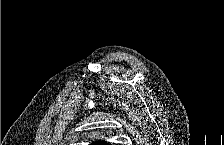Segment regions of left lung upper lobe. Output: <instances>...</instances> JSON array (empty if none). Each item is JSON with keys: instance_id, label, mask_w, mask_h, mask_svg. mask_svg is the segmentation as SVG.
<instances>
[{"instance_id": "left-lung-upper-lobe-1", "label": "left lung upper lobe", "mask_w": 224, "mask_h": 145, "mask_svg": "<svg viewBox=\"0 0 224 145\" xmlns=\"http://www.w3.org/2000/svg\"><path fill=\"white\" fill-rule=\"evenodd\" d=\"M91 145H109V144L107 142L99 141V142L92 143Z\"/></svg>"}]
</instances>
